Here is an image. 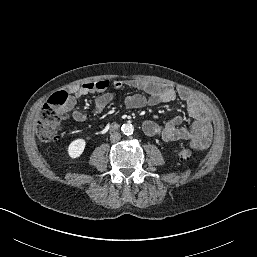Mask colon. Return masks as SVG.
Returning <instances> with one entry per match:
<instances>
[{"instance_id": "obj_1", "label": "colon", "mask_w": 257, "mask_h": 257, "mask_svg": "<svg viewBox=\"0 0 257 257\" xmlns=\"http://www.w3.org/2000/svg\"><path fill=\"white\" fill-rule=\"evenodd\" d=\"M69 100L68 92L59 91L53 94L41 108L35 122V129L42 141L53 142L61 137L62 123L67 117ZM203 147L202 143L197 142L191 149L181 150L177 157L180 160H187L194 150H200Z\"/></svg>"}]
</instances>
